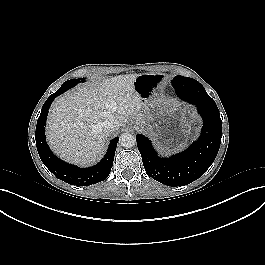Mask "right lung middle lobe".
Instances as JSON below:
<instances>
[{
    "label": "right lung middle lobe",
    "mask_w": 265,
    "mask_h": 265,
    "mask_svg": "<svg viewBox=\"0 0 265 265\" xmlns=\"http://www.w3.org/2000/svg\"><path fill=\"white\" fill-rule=\"evenodd\" d=\"M84 81H85V78L68 80V81L64 82V84H62V86L57 90V92L63 93L66 90L74 87L76 84H78L80 82H84ZM57 92H55V93H57Z\"/></svg>",
    "instance_id": "dd1d6c3e"
}]
</instances>
